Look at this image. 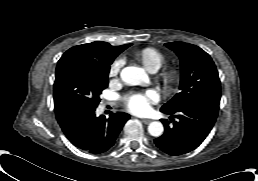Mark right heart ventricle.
I'll list each match as a JSON object with an SVG mask.
<instances>
[{"instance_id":"obj_1","label":"right heart ventricle","mask_w":258,"mask_h":181,"mask_svg":"<svg viewBox=\"0 0 258 181\" xmlns=\"http://www.w3.org/2000/svg\"><path fill=\"white\" fill-rule=\"evenodd\" d=\"M136 58L150 72H156L165 62V55L153 47L140 50Z\"/></svg>"}]
</instances>
